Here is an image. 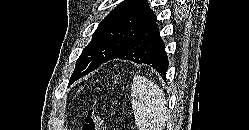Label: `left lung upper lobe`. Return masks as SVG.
Returning a JSON list of instances; mask_svg holds the SVG:
<instances>
[{
	"label": "left lung upper lobe",
	"mask_w": 249,
	"mask_h": 130,
	"mask_svg": "<svg viewBox=\"0 0 249 130\" xmlns=\"http://www.w3.org/2000/svg\"><path fill=\"white\" fill-rule=\"evenodd\" d=\"M155 18L147 1L124 0L97 27L76 62L69 85L111 60L135 36L155 23Z\"/></svg>",
	"instance_id": "obj_1"
}]
</instances>
